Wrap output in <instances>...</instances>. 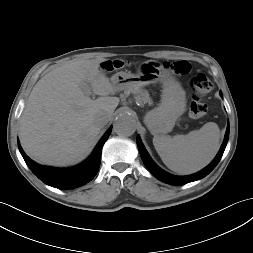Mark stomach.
I'll use <instances>...</instances> for the list:
<instances>
[{
  "instance_id": "obj_1",
  "label": "stomach",
  "mask_w": 253,
  "mask_h": 253,
  "mask_svg": "<svg viewBox=\"0 0 253 253\" xmlns=\"http://www.w3.org/2000/svg\"><path fill=\"white\" fill-rule=\"evenodd\" d=\"M117 90H132L161 82L163 89L161 103L148 111L144 123L152 134L170 132L176 120L185 112L186 95L172 72L160 63L149 60L143 62L136 74L118 72L110 78Z\"/></svg>"
}]
</instances>
